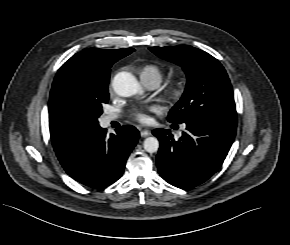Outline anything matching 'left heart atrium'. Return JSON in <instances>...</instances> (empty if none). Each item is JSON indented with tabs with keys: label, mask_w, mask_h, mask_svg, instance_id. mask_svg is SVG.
<instances>
[{
	"label": "left heart atrium",
	"mask_w": 290,
	"mask_h": 245,
	"mask_svg": "<svg viewBox=\"0 0 290 245\" xmlns=\"http://www.w3.org/2000/svg\"><path fill=\"white\" fill-rule=\"evenodd\" d=\"M149 111H154L153 107L148 108ZM134 117L142 122V123H148L150 121V118L147 114V110L146 109H136L134 112Z\"/></svg>",
	"instance_id": "left-heart-atrium-1"
}]
</instances>
